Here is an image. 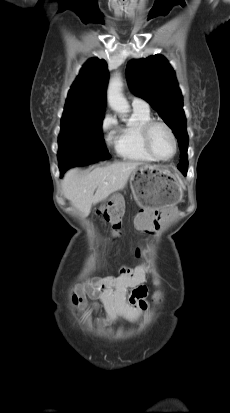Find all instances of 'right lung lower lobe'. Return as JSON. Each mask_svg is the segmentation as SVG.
I'll return each mask as SVG.
<instances>
[{"instance_id": "right-lung-lower-lobe-1", "label": "right lung lower lobe", "mask_w": 230, "mask_h": 413, "mask_svg": "<svg viewBox=\"0 0 230 413\" xmlns=\"http://www.w3.org/2000/svg\"><path fill=\"white\" fill-rule=\"evenodd\" d=\"M60 172H61V175H63V173H64L65 171H63L62 169H60Z\"/></svg>"}]
</instances>
